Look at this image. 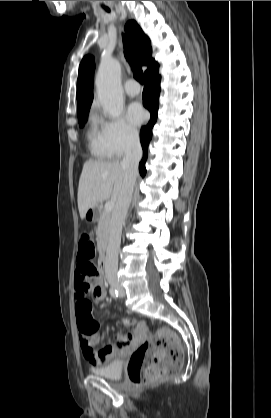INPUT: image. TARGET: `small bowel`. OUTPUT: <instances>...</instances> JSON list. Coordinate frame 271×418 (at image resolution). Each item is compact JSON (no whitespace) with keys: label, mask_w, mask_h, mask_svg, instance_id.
Listing matches in <instances>:
<instances>
[{"label":"small bowel","mask_w":271,"mask_h":418,"mask_svg":"<svg viewBox=\"0 0 271 418\" xmlns=\"http://www.w3.org/2000/svg\"><path fill=\"white\" fill-rule=\"evenodd\" d=\"M102 302L106 298V291L102 281V270L94 266L93 262H76V272L73 280V296L76 305L73 306V313L76 315L80 332V345L84 357L94 366H102L114 358L124 355L128 349L138 343L144 325L135 319L126 317L122 320L125 326H134L133 334H118V344L107 345L96 349L100 342L101 335L98 332L101 321L94 313V301Z\"/></svg>","instance_id":"obj_1"}]
</instances>
